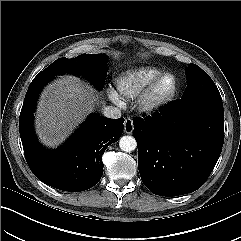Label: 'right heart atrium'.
<instances>
[{
    "mask_svg": "<svg viewBox=\"0 0 241 241\" xmlns=\"http://www.w3.org/2000/svg\"><path fill=\"white\" fill-rule=\"evenodd\" d=\"M108 96L110 100L113 101L114 103L119 104L121 102L119 95L113 90L108 91Z\"/></svg>",
    "mask_w": 241,
    "mask_h": 241,
    "instance_id": "1",
    "label": "right heart atrium"
}]
</instances>
